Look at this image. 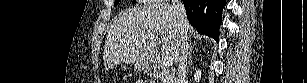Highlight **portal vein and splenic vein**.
I'll list each match as a JSON object with an SVG mask.
<instances>
[{
    "label": "portal vein and splenic vein",
    "mask_w": 307,
    "mask_h": 83,
    "mask_svg": "<svg viewBox=\"0 0 307 83\" xmlns=\"http://www.w3.org/2000/svg\"><path fill=\"white\" fill-rule=\"evenodd\" d=\"M158 43L160 44V41H158ZM162 62L165 67H170L173 64V59L169 56H165L162 58Z\"/></svg>",
    "instance_id": "1"
}]
</instances>
